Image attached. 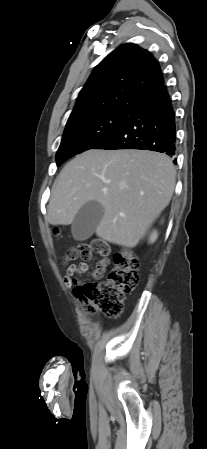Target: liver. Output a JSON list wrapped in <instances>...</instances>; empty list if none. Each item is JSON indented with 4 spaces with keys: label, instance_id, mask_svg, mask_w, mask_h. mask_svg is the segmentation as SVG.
Masks as SVG:
<instances>
[{
    "label": "liver",
    "instance_id": "liver-1",
    "mask_svg": "<svg viewBox=\"0 0 207 449\" xmlns=\"http://www.w3.org/2000/svg\"><path fill=\"white\" fill-rule=\"evenodd\" d=\"M176 170L165 154L148 150H96L76 156L59 173L48 205L51 225H69L89 201L104 208L96 235L135 247L168 206Z\"/></svg>",
    "mask_w": 207,
    "mask_h": 449
}]
</instances>
